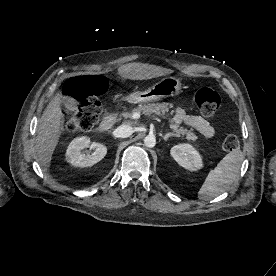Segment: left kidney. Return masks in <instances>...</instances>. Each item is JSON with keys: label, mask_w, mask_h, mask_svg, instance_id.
<instances>
[{"label": "left kidney", "mask_w": 276, "mask_h": 276, "mask_svg": "<svg viewBox=\"0 0 276 276\" xmlns=\"http://www.w3.org/2000/svg\"><path fill=\"white\" fill-rule=\"evenodd\" d=\"M171 156L182 167L197 171L202 168V159L198 151L190 144H179L171 148Z\"/></svg>", "instance_id": "left-kidney-1"}]
</instances>
